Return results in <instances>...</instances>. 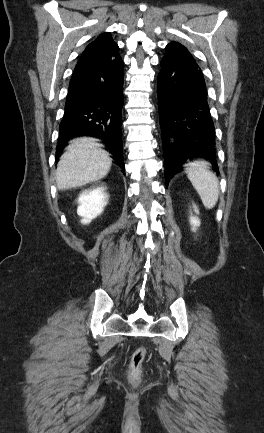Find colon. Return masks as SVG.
<instances>
[{
    "label": "colon",
    "mask_w": 264,
    "mask_h": 433,
    "mask_svg": "<svg viewBox=\"0 0 264 433\" xmlns=\"http://www.w3.org/2000/svg\"><path fill=\"white\" fill-rule=\"evenodd\" d=\"M145 357L146 349L144 347H138L131 356L128 368V378L133 385L139 384L141 380Z\"/></svg>",
    "instance_id": "obj_1"
}]
</instances>
